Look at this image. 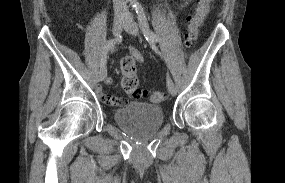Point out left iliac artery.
<instances>
[{
	"label": "left iliac artery",
	"instance_id": "obj_1",
	"mask_svg": "<svg viewBox=\"0 0 285 183\" xmlns=\"http://www.w3.org/2000/svg\"><path fill=\"white\" fill-rule=\"evenodd\" d=\"M136 13L138 15L140 28L146 40L149 42H158V36L149 28L144 9L141 6H138L136 7Z\"/></svg>",
	"mask_w": 285,
	"mask_h": 183
}]
</instances>
